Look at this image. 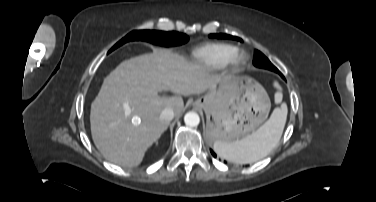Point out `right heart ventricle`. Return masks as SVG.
<instances>
[{
  "mask_svg": "<svg viewBox=\"0 0 376 202\" xmlns=\"http://www.w3.org/2000/svg\"><path fill=\"white\" fill-rule=\"evenodd\" d=\"M237 48L228 43H211L204 45L192 54L195 62L210 69H219L225 66Z\"/></svg>",
  "mask_w": 376,
  "mask_h": 202,
  "instance_id": "obj_1",
  "label": "right heart ventricle"
}]
</instances>
